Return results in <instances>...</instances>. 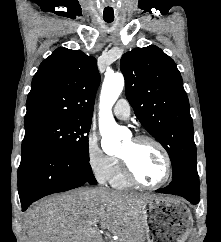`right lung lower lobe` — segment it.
Returning a JSON list of instances; mask_svg holds the SVG:
<instances>
[{
  "label": "right lung lower lobe",
  "instance_id": "right-lung-lower-lobe-1",
  "mask_svg": "<svg viewBox=\"0 0 221 242\" xmlns=\"http://www.w3.org/2000/svg\"><path fill=\"white\" fill-rule=\"evenodd\" d=\"M96 184L89 161L54 148H22L18 192L25 211L34 201L53 193Z\"/></svg>",
  "mask_w": 221,
  "mask_h": 242
}]
</instances>
